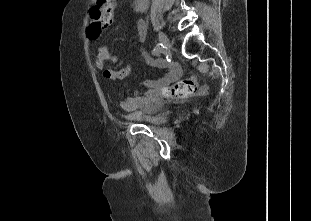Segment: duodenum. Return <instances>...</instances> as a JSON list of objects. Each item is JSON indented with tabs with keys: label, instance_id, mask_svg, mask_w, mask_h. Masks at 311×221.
<instances>
[{
	"label": "duodenum",
	"instance_id": "410a0bca",
	"mask_svg": "<svg viewBox=\"0 0 311 221\" xmlns=\"http://www.w3.org/2000/svg\"><path fill=\"white\" fill-rule=\"evenodd\" d=\"M149 1L150 0H135L134 5L136 10L140 11L144 9L148 5Z\"/></svg>",
	"mask_w": 311,
	"mask_h": 221
}]
</instances>
